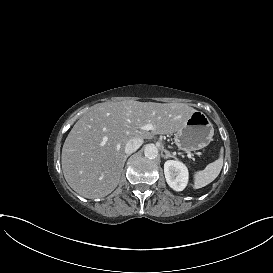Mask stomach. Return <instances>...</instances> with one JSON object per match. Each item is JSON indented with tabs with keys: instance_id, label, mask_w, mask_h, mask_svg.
Instances as JSON below:
<instances>
[{
	"instance_id": "0dacf381",
	"label": "stomach",
	"mask_w": 273,
	"mask_h": 273,
	"mask_svg": "<svg viewBox=\"0 0 273 273\" xmlns=\"http://www.w3.org/2000/svg\"><path fill=\"white\" fill-rule=\"evenodd\" d=\"M214 135V128L207 116L193 112L184 125L175 133L176 145L185 151H196L207 146Z\"/></svg>"
}]
</instances>
